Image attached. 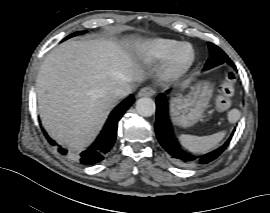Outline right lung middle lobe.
<instances>
[{"mask_svg":"<svg viewBox=\"0 0 270 213\" xmlns=\"http://www.w3.org/2000/svg\"><path fill=\"white\" fill-rule=\"evenodd\" d=\"M83 33H85V31L75 32V33L69 35L68 37H66L64 40H66V39H68V38H71V37H73V36L79 35V34H83Z\"/></svg>","mask_w":270,"mask_h":213,"instance_id":"dd1d6c3e","label":"right lung middle lobe"}]
</instances>
